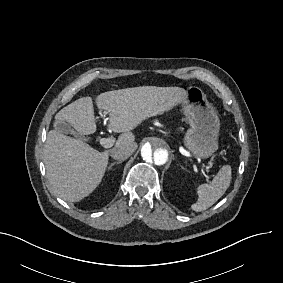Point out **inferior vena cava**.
Here are the masks:
<instances>
[{
  "label": "inferior vena cava",
  "mask_w": 283,
  "mask_h": 283,
  "mask_svg": "<svg viewBox=\"0 0 283 283\" xmlns=\"http://www.w3.org/2000/svg\"><path fill=\"white\" fill-rule=\"evenodd\" d=\"M133 151H134V148L131 146H128L126 144H118V145H115V147L111 149L110 153L114 159L123 161L127 159L129 156H131Z\"/></svg>",
  "instance_id": "1"
}]
</instances>
